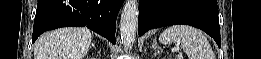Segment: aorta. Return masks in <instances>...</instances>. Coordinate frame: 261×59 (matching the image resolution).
Instances as JSON below:
<instances>
[{
    "label": "aorta",
    "mask_w": 261,
    "mask_h": 59,
    "mask_svg": "<svg viewBox=\"0 0 261 59\" xmlns=\"http://www.w3.org/2000/svg\"><path fill=\"white\" fill-rule=\"evenodd\" d=\"M138 1L126 0L120 19V36L125 49H131L138 27Z\"/></svg>",
    "instance_id": "obj_1"
}]
</instances>
